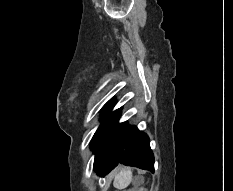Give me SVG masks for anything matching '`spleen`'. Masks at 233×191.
Here are the masks:
<instances>
[{
    "instance_id": "1",
    "label": "spleen",
    "mask_w": 233,
    "mask_h": 191,
    "mask_svg": "<svg viewBox=\"0 0 233 191\" xmlns=\"http://www.w3.org/2000/svg\"><path fill=\"white\" fill-rule=\"evenodd\" d=\"M132 180V172L130 170H121L114 179L113 185L117 189L126 188Z\"/></svg>"
}]
</instances>
